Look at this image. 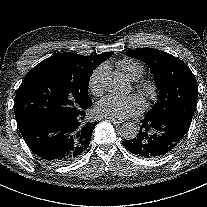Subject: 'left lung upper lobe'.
Listing matches in <instances>:
<instances>
[{"mask_svg": "<svg viewBox=\"0 0 207 207\" xmlns=\"http://www.w3.org/2000/svg\"><path fill=\"white\" fill-rule=\"evenodd\" d=\"M145 62L159 88V99L146 114L150 117L173 116L190 126L198 99V86L190 68L180 59L157 49L125 52Z\"/></svg>", "mask_w": 207, "mask_h": 207, "instance_id": "1", "label": "left lung upper lobe"}]
</instances>
